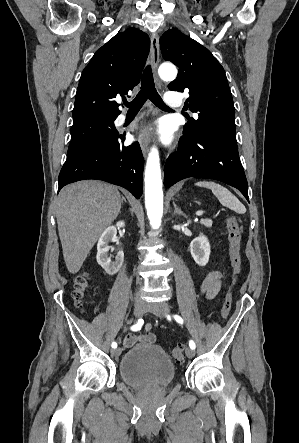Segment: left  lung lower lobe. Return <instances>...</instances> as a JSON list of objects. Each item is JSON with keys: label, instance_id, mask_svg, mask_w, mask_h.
Returning <instances> with one entry per match:
<instances>
[{"label": "left lung lower lobe", "instance_id": "1", "mask_svg": "<svg viewBox=\"0 0 299 443\" xmlns=\"http://www.w3.org/2000/svg\"><path fill=\"white\" fill-rule=\"evenodd\" d=\"M188 177L222 181L240 190L249 201L248 184L236 141L227 137L208 133L180 138L178 151L166 160L164 185L170 187Z\"/></svg>", "mask_w": 299, "mask_h": 443}]
</instances>
